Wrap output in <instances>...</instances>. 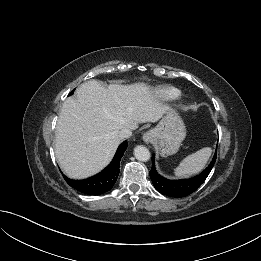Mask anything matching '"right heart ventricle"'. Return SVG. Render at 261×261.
<instances>
[{
  "label": "right heart ventricle",
  "instance_id": "obj_1",
  "mask_svg": "<svg viewBox=\"0 0 261 261\" xmlns=\"http://www.w3.org/2000/svg\"><path fill=\"white\" fill-rule=\"evenodd\" d=\"M181 95V91L173 86H160L156 89V96L161 101H173L179 98Z\"/></svg>",
  "mask_w": 261,
  "mask_h": 261
}]
</instances>
